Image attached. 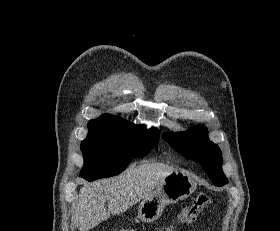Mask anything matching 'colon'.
<instances>
[{
    "label": "colon",
    "instance_id": "1",
    "mask_svg": "<svg viewBox=\"0 0 280 231\" xmlns=\"http://www.w3.org/2000/svg\"><path fill=\"white\" fill-rule=\"evenodd\" d=\"M210 202V198L206 193L199 192L195 195L184 211H182V215L178 216L179 220H174V225H164L162 231H174L176 229L175 225H188V220H195V213H199L201 209L207 207Z\"/></svg>",
    "mask_w": 280,
    "mask_h": 231
}]
</instances>
